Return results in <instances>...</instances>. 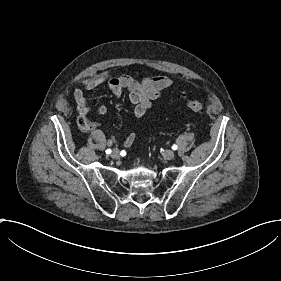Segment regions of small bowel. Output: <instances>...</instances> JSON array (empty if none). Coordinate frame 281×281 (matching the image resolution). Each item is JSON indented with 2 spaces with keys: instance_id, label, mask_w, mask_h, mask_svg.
<instances>
[{
  "instance_id": "obj_1",
  "label": "small bowel",
  "mask_w": 281,
  "mask_h": 281,
  "mask_svg": "<svg viewBox=\"0 0 281 281\" xmlns=\"http://www.w3.org/2000/svg\"><path fill=\"white\" fill-rule=\"evenodd\" d=\"M171 80L165 76H147L142 80H136L128 75L100 72L93 75L88 80L81 81L74 92V99L77 103V109L80 113L90 111L91 104L97 103L94 98H87L85 92L87 90L107 85V88L119 97L123 89L129 91V99L135 105L134 115L142 117L151 107L152 102L159 98L163 91L171 85ZM98 112L101 115L106 114L107 108L104 105L98 106ZM134 134H129L124 145L129 147L134 141Z\"/></svg>"
}]
</instances>
